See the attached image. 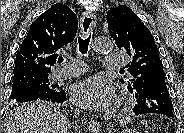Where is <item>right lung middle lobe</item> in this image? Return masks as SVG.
<instances>
[{
	"mask_svg": "<svg viewBox=\"0 0 184 133\" xmlns=\"http://www.w3.org/2000/svg\"><path fill=\"white\" fill-rule=\"evenodd\" d=\"M56 91L57 90L49 84L48 75L22 73L14 75L11 98L25 93L47 96L54 94ZM20 106V104H13L12 108H19Z\"/></svg>",
	"mask_w": 184,
	"mask_h": 133,
	"instance_id": "dd1d6c3e",
	"label": "right lung middle lobe"
}]
</instances>
